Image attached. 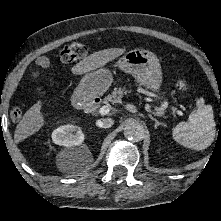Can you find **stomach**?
I'll return each instance as SVG.
<instances>
[{"instance_id": "0dacf381", "label": "stomach", "mask_w": 221, "mask_h": 221, "mask_svg": "<svg viewBox=\"0 0 221 221\" xmlns=\"http://www.w3.org/2000/svg\"><path fill=\"white\" fill-rule=\"evenodd\" d=\"M124 72L131 74L136 81L147 89L158 92L162 83V72L157 56L145 49H134L125 53L117 62ZM113 81L111 72L100 67L86 73L74 91V96L88 102L103 95Z\"/></svg>"}]
</instances>
